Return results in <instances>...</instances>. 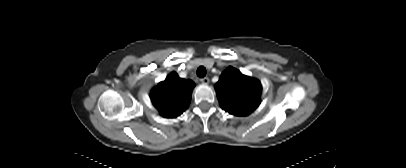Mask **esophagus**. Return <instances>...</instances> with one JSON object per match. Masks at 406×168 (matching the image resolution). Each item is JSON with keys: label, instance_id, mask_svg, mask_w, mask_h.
Here are the masks:
<instances>
[{"label": "esophagus", "instance_id": "34e87169", "mask_svg": "<svg viewBox=\"0 0 406 168\" xmlns=\"http://www.w3.org/2000/svg\"><path fill=\"white\" fill-rule=\"evenodd\" d=\"M200 81L202 82V84H205V85L209 84V82H210L208 77L201 78Z\"/></svg>", "mask_w": 406, "mask_h": 168}]
</instances>
